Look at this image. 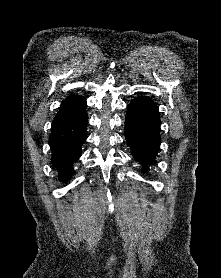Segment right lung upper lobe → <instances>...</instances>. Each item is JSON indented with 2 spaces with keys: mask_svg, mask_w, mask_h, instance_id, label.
<instances>
[{
  "mask_svg": "<svg viewBox=\"0 0 221 278\" xmlns=\"http://www.w3.org/2000/svg\"><path fill=\"white\" fill-rule=\"evenodd\" d=\"M87 107L83 97L78 95L68 96L61 104L59 112L55 116L52 128L67 122L79 115Z\"/></svg>",
  "mask_w": 221,
  "mask_h": 278,
  "instance_id": "right-lung-upper-lobe-1",
  "label": "right lung upper lobe"
}]
</instances>
